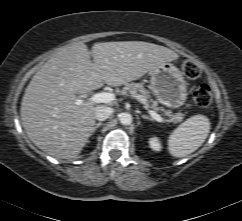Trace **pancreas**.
Segmentation results:
<instances>
[{
    "label": "pancreas",
    "instance_id": "obj_1",
    "mask_svg": "<svg viewBox=\"0 0 242 221\" xmlns=\"http://www.w3.org/2000/svg\"><path fill=\"white\" fill-rule=\"evenodd\" d=\"M117 93L124 96H131L133 98L141 101L146 108H151L154 110H161L164 115L169 117V121L173 123H178L182 120L183 114L177 113L172 114L171 111L165 110L162 107H158L157 101L153 100L150 96V92L144 88L142 83H127L122 90H117ZM138 96H141L144 101H142Z\"/></svg>",
    "mask_w": 242,
    "mask_h": 221
}]
</instances>
